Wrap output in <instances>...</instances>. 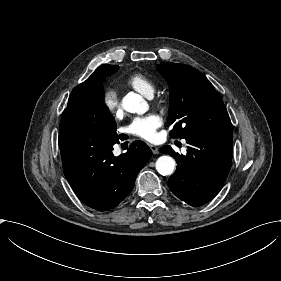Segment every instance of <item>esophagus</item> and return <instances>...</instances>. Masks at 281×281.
I'll list each match as a JSON object with an SVG mask.
<instances>
[{"instance_id": "obj_1", "label": "esophagus", "mask_w": 281, "mask_h": 281, "mask_svg": "<svg viewBox=\"0 0 281 281\" xmlns=\"http://www.w3.org/2000/svg\"><path fill=\"white\" fill-rule=\"evenodd\" d=\"M148 146L150 147V149L153 152V154H157L159 152V149H158L157 146H155L153 144H148Z\"/></svg>"}]
</instances>
